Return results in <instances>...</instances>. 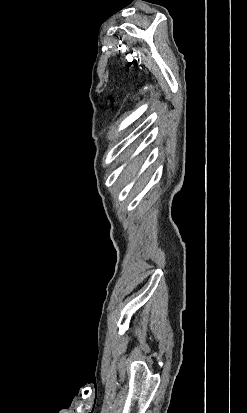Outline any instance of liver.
Returning <instances> with one entry per match:
<instances>
[{
  "label": "liver",
  "mask_w": 247,
  "mask_h": 413,
  "mask_svg": "<svg viewBox=\"0 0 247 413\" xmlns=\"http://www.w3.org/2000/svg\"><path fill=\"white\" fill-rule=\"evenodd\" d=\"M130 152H132V150H130ZM130 152H128V154H124V156H122L121 160H125V156L127 158V156H129ZM142 162L139 158V156H137V158H135V160H133V162H130V164H128V166H126L125 170H123L121 176H123L124 178V182H128V180H132V178H135L136 176V172L139 168V166H141ZM138 186H140V180H138L137 182ZM143 184H145V182H143Z\"/></svg>",
  "instance_id": "liver-1"
}]
</instances>
